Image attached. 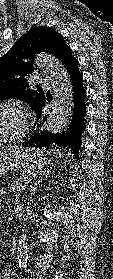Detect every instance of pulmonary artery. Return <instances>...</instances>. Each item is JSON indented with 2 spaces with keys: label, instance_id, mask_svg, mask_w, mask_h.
Segmentation results:
<instances>
[{
  "label": "pulmonary artery",
  "instance_id": "1",
  "mask_svg": "<svg viewBox=\"0 0 113 279\" xmlns=\"http://www.w3.org/2000/svg\"><path fill=\"white\" fill-rule=\"evenodd\" d=\"M38 82L47 86L49 84V78L45 76H41L38 78Z\"/></svg>",
  "mask_w": 113,
  "mask_h": 279
}]
</instances>
